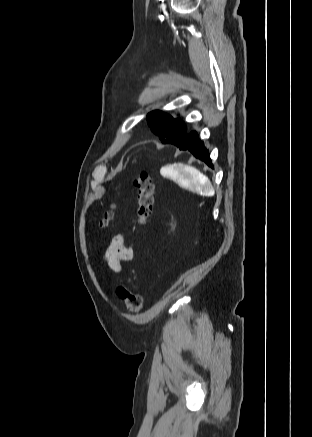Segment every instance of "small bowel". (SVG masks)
Masks as SVG:
<instances>
[{
  "label": "small bowel",
  "mask_w": 312,
  "mask_h": 437,
  "mask_svg": "<svg viewBox=\"0 0 312 437\" xmlns=\"http://www.w3.org/2000/svg\"><path fill=\"white\" fill-rule=\"evenodd\" d=\"M133 257V251L128 246L122 234L113 237L103 257L105 263L112 271L120 272L122 264L129 262Z\"/></svg>",
  "instance_id": "1"
}]
</instances>
